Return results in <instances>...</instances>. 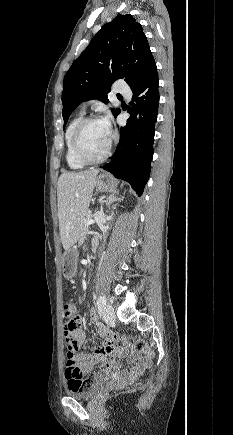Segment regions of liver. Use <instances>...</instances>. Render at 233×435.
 Segmentation results:
<instances>
[{"mask_svg":"<svg viewBox=\"0 0 233 435\" xmlns=\"http://www.w3.org/2000/svg\"><path fill=\"white\" fill-rule=\"evenodd\" d=\"M99 170L64 172L57 182L59 230L63 248L73 246L80 237Z\"/></svg>","mask_w":233,"mask_h":435,"instance_id":"6515ba94","label":"liver"}]
</instances>
